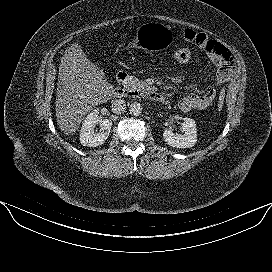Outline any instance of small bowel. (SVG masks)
I'll return each mask as SVG.
<instances>
[{
  "label": "small bowel",
  "mask_w": 272,
  "mask_h": 272,
  "mask_svg": "<svg viewBox=\"0 0 272 272\" xmlns=\"http://www.w3.org/2000/svg\"><path fill=\"white\" fill-rule=\"evenodd\" d=\"M183 38L195 43L207 55L216 70V84L222 85L230 79L232 73L233 57L230 51L216 40L210 39L206 34L186 28L182 32ZM217 96L216 88H210L203 94H189L180 99L178 106L184 112L204 110L209 107Z\"/></svg>",
  "instance_id": "1"
}]
</instances>
